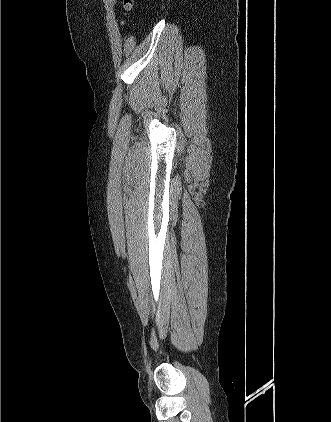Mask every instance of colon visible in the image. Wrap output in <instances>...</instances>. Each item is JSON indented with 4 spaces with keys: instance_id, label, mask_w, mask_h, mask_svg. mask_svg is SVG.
Wrapping results in <instances>:
<instances>
[{
    "instance_id": "5ec220e1",
    "label": "colon",
    "mask_w": 331,
    "mask_h": 422,
    "mask_svg": "<svg viewBox=\"0 0 331 422\" xmlns=\"http://www.w3.org/2000/svg\"><path fill=\"white\" fill-rule=\"evenodd\" d=\"M135 0H122V7L125 16H128L134 8Z\"/></svg>"
}]
</instances>
